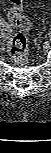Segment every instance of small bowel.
Masks as SVG:
<instances>
[{"label": "small bowel", "instance_id": "1", "mask_svg": "<svg viewBox=\"0 0 51 153\" xmlns=\"http://www.w3.org/2000/svg\"><path fill=\"white\" fill-rule=\"evenodd\" d=\"M1 24L3 25V27H7V23L2 21Z\"/></svg>", "mask_w": 51, "mask_h": 153}]
</instances>
